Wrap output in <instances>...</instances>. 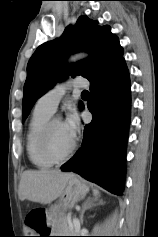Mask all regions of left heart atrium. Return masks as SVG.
Here are the masks:
<instances>
[{
  "instance_id": "left-heart-atrium-1",
  "label": "left heart atrium",
  "mask_w": 158,
  "mask_h": 237,
  "mask_svg": "<svg viewBox=\"0 0 158 237\" xmlns=\"http://www.w3.org/2000/svg\"><path fill=\"white\" fill-rule=\"evenodd\" d=\"M63 127L69 137L74 140L79 130V120L74 112L70 113L67 116V118L63 122Z\"/></svg>"
}]
</instances>
